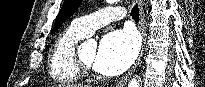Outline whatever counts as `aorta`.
<instances>
[{
    "instance_id": "1",
    "label": "aorta",
    "mask_w": 205,
    "mask_h": 87,
    "mask_svg": "<svg viewBox=\"0 0 205 87\" xmlns=\"http://www.w3.org/2000/svg\"><path fill=\"white\" fill-rule=\"evenodd\" d=\"M115 0H107V2L112 3ZM128 87H140V82L138 79L133 78L129 83H128Z\"/></svg>"
}]
</instances>
